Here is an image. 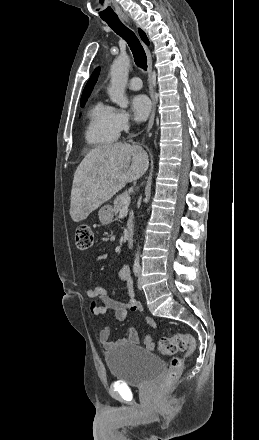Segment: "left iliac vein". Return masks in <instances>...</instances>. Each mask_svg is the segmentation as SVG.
Here are the masks:
<instances>
[{
    "mask_svg": "<svg viewBox=\"0 0 259 440\" xmlns=\"http://www.w3.org/2000/svg\"><path fill=\"white\" fill-rule=\"evenodd\" d=\"M138 288H139V289H142L141 268L139 269V275H138Z\"/></svg>",
    "mask_w": 259,
    "mask_h": 440,
    "instance_id": "obj_1",
    "label": "left iliac vein"
}]
</instances>
